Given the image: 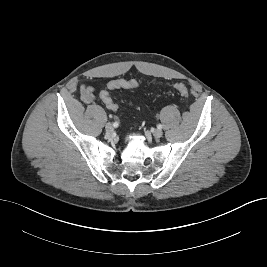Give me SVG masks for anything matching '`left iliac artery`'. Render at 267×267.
Instances as JSON below:
<instances>
[{
	"instance_id": "obj_1",
	"label": "left iliac artery",
	"mask_w": 267,
	"mask_h": 267,
	"mask_svg": "<svg viewBox=\"0 0 267 267\" xmlns=\"http://www.w3.org/2000/svg\"><path fill=\"white\" fill-rule=\"evenodd\" d=\"M157 128H158V129H162V125L159 124V125L157 126Z\"/></svg>"
}]
</instances>
